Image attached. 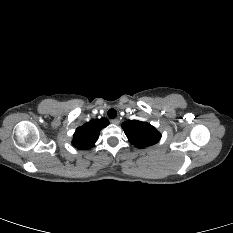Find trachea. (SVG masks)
Masks as SVG:
<instances>
[{"mask_svg": "<svg viewBox=\"0 0 233 233\" xmlns=\"http://www.w3.org/2000/svg\"><path fill=\"white\" fill-rule=\"evenodd\" d=\"M107 114L110 119H113L117 116V111L115 109H109Z\"/></svg>", "mask_w": 233, "mask_h": 233, "instance_id": "3493384b", "label": "trachea"}]
</instances>
